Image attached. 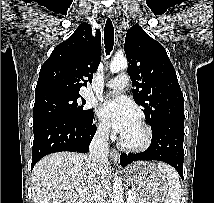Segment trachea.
Listing matches in <instances>:
<instances>
[{
  "label": "trachea",
  "instance_id": "1",
  "mask_svg": "<svg viewBox=\"0 0 214 203\" xmlns=\"http://www.w3.org/2000/svg\"><path fill=\"white\" fill-rule=\"evenodd\" d=\"M104 44L106 55H109L114 45V27L111 19H107L104 28Z\"/></svg>",
  "mask_w": 214,
  "mask_h": 203
}]
</instances>
